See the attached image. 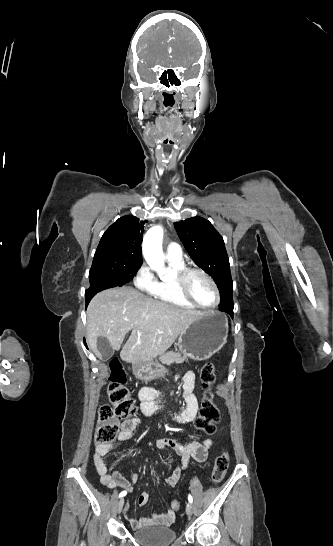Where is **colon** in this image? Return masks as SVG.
Segmentation results:
<instances>
[{
  "label": "colon",
  "mask_w": 333,
  "mask_h": 546,
  "mask_svg": "<svg viewBox=\"0 0 333 546\" xmlns=\"http://www.w3.org/2000/svg\"><path fill=\"white\" fill-rule=\"evenodd\" d=\"M108 395L110 404L103 405L99 411V420L95 432L96 445H107L115 441L123 420L135 418L138 409L126 386V374L118 360H112L109 364ZM216 379L215 366L206 363L200 371V380L204 387V396L198 416L195 419L196 430L211 435L215 431V424L220 418L219 409L213 402L210 387ZM229 466V455L221 453L216 457L211 473V480L217 484L224 478ZM172 510L181 508V503L174 500L171 503Z\"/></svg>",
  "instance_id": "5ec220e1"
}]
</instances>
